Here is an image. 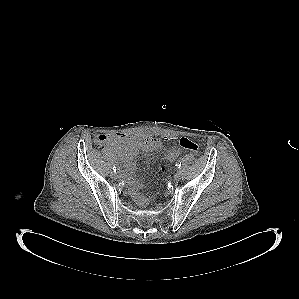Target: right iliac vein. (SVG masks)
Segmentation results:
<instances>
[{"label":"right iliac vein","mask_w":299,"mask_h":299,"mask_svg":"<svg viewBox=\"0 0 299 299\" xmlns=\"http://www.w3.org/2000/svg\"><path fill=\"white\" fill-rule=\"evenodd\" d=\"M110 176L112 179H115V180L118 179V177H119L118 174L115 172H111Z\"/></svg>","instance_id":"obj_1"}]
</instances>
